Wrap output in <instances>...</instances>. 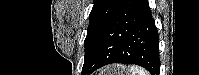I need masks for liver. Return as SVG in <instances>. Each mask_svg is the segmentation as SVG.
Instances as JSON below:
<instances>
[{
	"instance_id": "1",
	"label": "liver",
	"mask_w": 199,
	"mask_h": 75,
	"mask_svg": "<svg viewBox=\"0 0 199 75\" xmlns=\"http://www.w3.org/2000/svg\"><path fill=\"white\" fill-rule=\"evenodd\" d=\"M111 73H112V72H106V74H108V75L111 74Z\"/></svg>"
}]
</instances>
